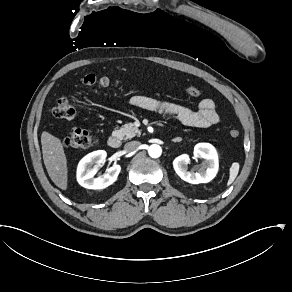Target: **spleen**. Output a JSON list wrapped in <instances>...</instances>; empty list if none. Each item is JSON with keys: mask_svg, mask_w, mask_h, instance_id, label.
Wrapping results in <instances>:
<instances>
[{"mask_svg": "<svg viewBox=\"0 0 292 292\" xmlns=\"http://www.w3.org/2000/svg\"><path fill=\"white\" fill-rule=\"evenodd\" d=\"M240 169V163L239 162H233L231 163V166L229 168V179L227 181V187H229L237 178L238 173Z\"/></svg>", "mask_w": 292, "mask_h": 292, "instance_id": "3e777b00", "label": "spleen"}]
</instances>
